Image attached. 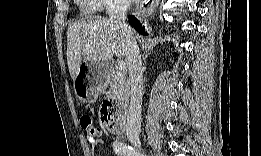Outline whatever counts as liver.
<instances>
[{
  "label": "liver",
  "mask_w": 261,
  "mask_h": 156,
  "mask_svg": "<svg viewBox=\"0 0 261 156\" xmlns=\"http://www.w3.org/2000/svg\"><path fill=\"white\" fill-rule=\"evenodd\" d=\"M126 45L123 31L109 19L94 16L73 22L67 30V64L72 80L78 76L82 62H109L113 55L124 57Z\"/></svg>",
  "instance_id": "6515ba94"
}]
</instances>
